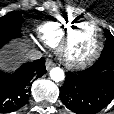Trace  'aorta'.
Instances as JSON below:
<instances>
[{
    "label": "aorta",
    "instance_id": "762f6f07",
    "mask_svg": "<svg viewBox=\"0 0 114 114\" xmlns=\"http://www.w3.org/2000/svg\"><path fill=\"white\" fill-rule=\"evenodd\" d=\"M50 77L55 82H60L65 79L64 71L59 67H54L50 70Z\"/></svg>",
    "mask_w": 114,
    "mask_h": 114
}]
</instances>
